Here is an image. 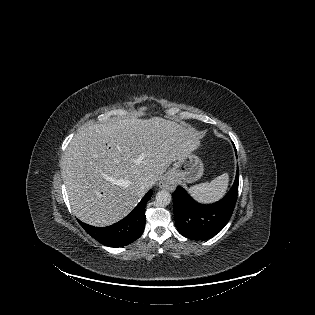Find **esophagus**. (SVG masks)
Instances as JSON below:
<instances>
[{"label": "esophagus", "instance_id": "34e87169", "mask_svg": "<svg viewBox=\"0 0 315 315\" xmlns=\"http://www.w3.org/2000/svg\"><path fill=\"white\" fill-rule=\"evenodd\" d=\"M161 189L172 191L175 188V183L169 177H164L158 183Z\"/></svg>", "mask_w": 315, "mask_h": 315}]
</instances>
